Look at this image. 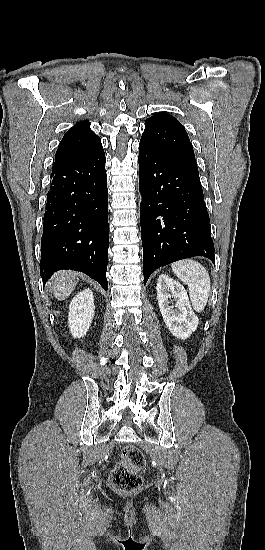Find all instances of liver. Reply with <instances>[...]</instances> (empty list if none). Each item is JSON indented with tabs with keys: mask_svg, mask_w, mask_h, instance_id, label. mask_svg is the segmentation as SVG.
<instances>
[{
	"mask_svg": "<svg viewBox=\"0 0 265 550\" xmlns=\"http://www.w3.org/2000/svg\"><path fill=\"white\" fill-rule=\"evenodd\" d=\"M78 283V273L74 271H59L51 279L50 286L54 297L65 300L74 291Z\"/></svg>",
	"mask_w": 265,
	"mask_h": 550,
	"instance_id": "obj_1",
	"label": "liver"
}]
</instances>
